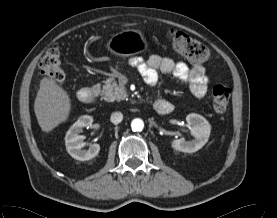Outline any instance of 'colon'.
I'll return each instance as SVG.
<instances>
[{"label": "colon", "mask_w": 277, "mask_h": 218, "mask_svg": "<svg viewBox=\"0 0 277 218\" xmlns=\"http://www.w3.org/2000/svg\"><path fill=\"white\" fill-rule=\"evenodd\" d=\"M167 39L173 50L189 62L202 63L209 57L208 48L185 33L172 31L168 33ZM40 69L43 75L56 82H62L65 79L59 46L55 45L46 51L40 61ZM230 98V88L223 85L215 86L212 90L213 109L218 113L225 112L229 106Z\"/></svg>", "instance_id": "5ec220e1"}]
</instances>
